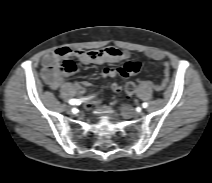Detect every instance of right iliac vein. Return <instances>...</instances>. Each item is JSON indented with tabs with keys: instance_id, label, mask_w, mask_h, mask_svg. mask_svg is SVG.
Segmentation results:
<instances>
[{
	"instance_id": "obj_1",
	"label": "right iliac vein",
	"mask_w": 212,
	"mask_h": 183,
	"mask_svg": "<svg viewBox=\"0 0 212 183\" xmlns=\"http://www.w3.org/2000/svg\"><path fill=\"white\" fill-rule=\"evenodd\" d=\"M68 112H69V113H72V110L69 108V109H68Z\"/></svg>"
}]
</instances>
